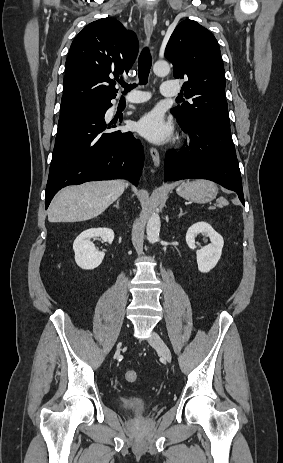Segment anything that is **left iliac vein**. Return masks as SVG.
<instances>
[{"label": "left iliac vein", "mask_w": 283, "mask_h": 463, "mask_svg": "<svg viewBox=\"0 0 283 463\" xmlns=\"http://www.w3.org/2000/svg\"><path fill=\"white\" fill-rule=\"evenodd\" d=\"M148 341L152 347H154L157 351L161 353L162 357L166 361L171 362V351L167 344L164 342V340L156 332L152 333V336L149 338Z\"/></svg>", "instance_id": "1"}]
</instances>
